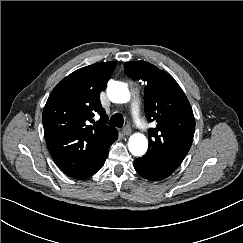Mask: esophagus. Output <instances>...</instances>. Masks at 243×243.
I'll return each instance as SVG.
<instances>
[{"instance_id": "obj_1", "label": "esophagus", "mask_w": 243, "mask_h": 243, "mask_svg": "<svg viewBox=\"0 0 243 243\" xmlns=\"http://www.w3.org/2000/svg\"><path fill=\"white\" fill-rule=\"evenodd\" d=\"M122 132L124 135L129 136L132 133V130L130 127L126 126L123 128Z\"/></svg>"}]
</instances>
